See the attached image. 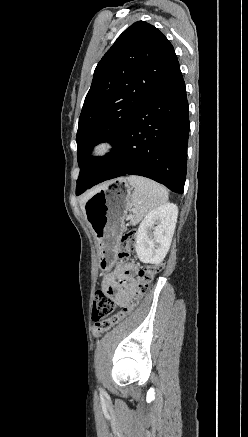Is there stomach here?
Returning <instances> with one entry per match:
<instances>
[{
	"label": "stomach",
	"instance_id": "0dacf381",
	"mask_svg": "<svg viewBox=\"0 0 248 437\" xmlns=\"http://www.w3.org/2000/svg\"><path fill=\"white\" fill-rule=\"evenodd\" d=\"M122 182L126 179L103 186L84 203V214L97 243L102 270L112 266L115 247L131 208L130 189H122Z\"/></svg>",
	"mask_w": 248,
	"mask_h": 437
}]
</instances>
